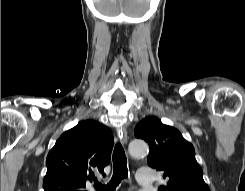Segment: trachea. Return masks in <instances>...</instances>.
<instances>
[{
	"label": "trachea",
	"mask_w": 245,
	"mask_h": 191,
	"mask_svg": "<svg viewBox=\"0 0 245 191\" xmlns=\"http://www.w3.org/2000/svg\"><path fill=\"white\" fill-rule=\"evenodd\" d=\"M128 177L127 158L124 149L120 143H116L113 151V176L111 181L103 186L98 183L95 185L97 191H115L116 186L121 180Z\"/></svg>",
	"instance_id": "3493384b"
}]
</instances>
